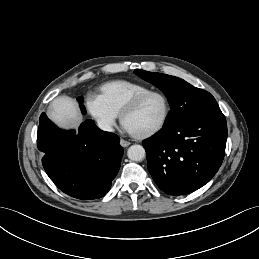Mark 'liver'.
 <instances>
[{
    "label": "liver",
    "instance_id": "liver-1",
    "mask_svg": "<svg viewBox=\"0 0 259 259\" xmlns=\"http://www.w3.org/2000/svg\"><path fill=\"white\" fill-rule=\"evenodd\" d=\"M48 117L62 128H69L72 124L78 125L82 116L74 100L67 96L54 99Z\"/></svg>",
    "mask_w": 259,
    "mask_h": 259
}]
</instances>
